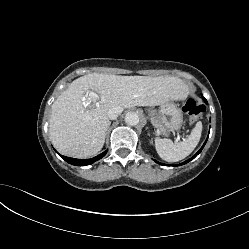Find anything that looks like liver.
<instances>
[{
    "instance_id": "liver-1",
    "label": "liver",
    "mask_w": 249,
    "mask_h": 249,
    "mask_svg": "<svg viewBox=\"0 0 249 249\" xmlns=\"http://www.w3.org/2000/svg\"><path fill=\"white\" fill-rule=\"evenodd\" d=\"M187 94V85L172 76L88 74L74 80L52 104L50 138L62 155L92 157L104 145L112 106H157Z\"/></svg>"
}]
</instances>
